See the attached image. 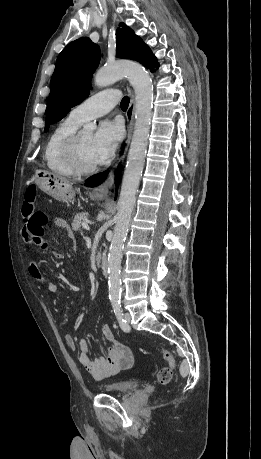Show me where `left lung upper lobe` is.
<instances>
[{
  "label": "left lung upper lobe",
  "instance_id": "1",
  "mask_svg": "<svg viewBox=\"0 0 261 459\" xmlns=\"http://www.w3.org/2000/svg\"><path fill=\"white\" fill-rule=\"evenodd\" d=\"M120 26L116 32L117 56L138 61L153 72L157 59L149 47L128 26L123 23ZM99 61L100 50L88 38L71 42L59 54L51 79L44 131L89 95L91 78Z\"/></svg>",
  "mask_w": 261,
  "mask_h": 459
}]
</instances>
